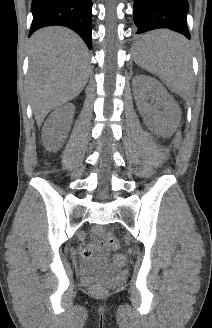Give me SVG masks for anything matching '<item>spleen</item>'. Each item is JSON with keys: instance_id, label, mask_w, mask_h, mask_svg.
<instances>
[{"instance_id": "obj_1", "label": "spleen", "mask_w": 212, "mask_h": 328, "mask_svg": "<svg viewBox=\"0 0 212 328\" xmlns=\"http://www.w3.org/2000/svg\"><path fill=\"white\" fill-rule=\"evenodd\" d=\"M143 39L152 45H139L135 62L160 77L171 91H188L192 86V68L185 38L164 30L148 33Z\"/></svg>"}]
</instances>
